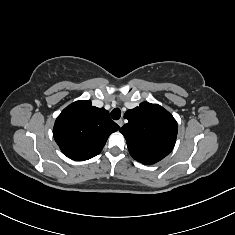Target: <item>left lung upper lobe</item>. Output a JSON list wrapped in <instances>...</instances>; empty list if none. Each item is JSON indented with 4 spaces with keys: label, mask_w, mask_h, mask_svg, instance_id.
<instances>
[{
    "label": "left lung upper lobe",
    "mask_w": 235,
    "mask_h": 235,
    "mask_svg": "<svg viewBox=\"0 0 235 235\" xmlns=\"http://www.w3.org/2000/svg\"><path fill=\"white\" fill-rule=\"evenodd\" d=\"M128 120L120 132L131 156L143 163L154 164L173 149L178 126L173 116L157 104L143 102L124 114Z\"/></svg>",
    "instance_id": "obj_1"
}]
</instances>
